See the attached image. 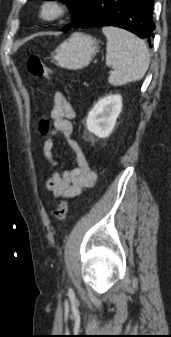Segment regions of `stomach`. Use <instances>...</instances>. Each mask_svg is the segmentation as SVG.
<instances>
[{"instance_id": "stomach-1", "label": "stomach", "mask_w": 171, "mask_h": 337, "mask_svg": "<svg viewBox=\"0 0 171 337\" xmlns=\"http://www.w3.org/2000/svg\"><path fill=\"white\" fill-rule=\"evenodd\" d=\"M98 52V41L83 33H74L53 53L56 65L70 69H82L90 64Z\"/></svg>"}]
</instances>
